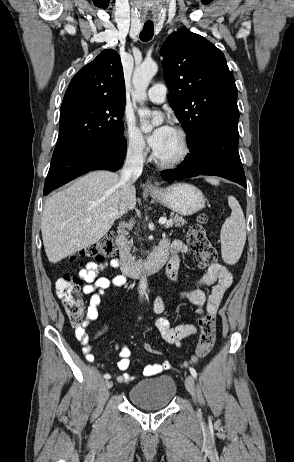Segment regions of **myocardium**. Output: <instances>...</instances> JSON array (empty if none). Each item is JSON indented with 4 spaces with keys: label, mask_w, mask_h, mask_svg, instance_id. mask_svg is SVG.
<instances>
[{
    "label": "myocardium",
    "mask_w": 294,
    "mask_h": 462,
    "mask_svg": "<svg viewBox=\"0 0 294 462\" xmlns=\"http://www.w3.org/2000/svg\"><path fill=\"white\" fill-rule=\"evenodd\" d=\"M174 131L177 133V135L180 138L182 150H181V153L177 157L169 159V160L161 159L157 156V154H155V160L157 164L164 168H174V167L180 166L188 159L191 153V144H190V140H189V136L187 132L180 127L174 128Z\"/></svg>",
    "instance_id": "obj_1"
}]
</instances>
